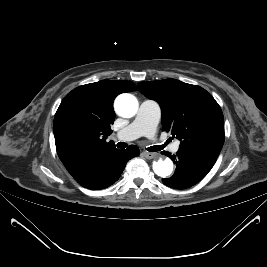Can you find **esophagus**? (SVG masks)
Segmentation results:
<instances>
[{
  "label": "esophagus",
  "mask_w": 267,
  "mask_h": 267,
  "mask_svg": "<svg viewBox=\"0 0 267 267\" xmlns=\"http://www.w3.org/2000/svg\"><path fill=\"white\" fill-rule=\"evenodd\" d=\"M143 155L147 158V159H154L157 157L156 153H152V152H143Z\"/></svg>",
  "instance_id": "34e87169"
}]
</instances>
